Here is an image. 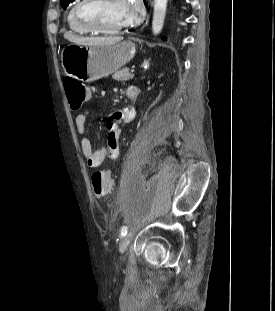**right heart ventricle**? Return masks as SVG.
<instances>
[{
	"label": "right heart ventricle",
	"instance_id": "right-heart-ventricle-1",
	"mask_svg": "<svg viewBox=\"0 0 275 311\" xmlns=\"http://www.w3.org/2000/svg\"><path fill=\"white\" fill-rule=\"evenodd\" d=\"M80 3V0H76L75 3L73 4V6L70 8L68 14H67V24L69 29L77 34H82V35H86L91 33L89 30H87L86 28H84L83 26L79 25L78 23H76L73 19L72 16V10L73 8Z\"/></svg>",
	"mask_w": 275,
	"mask_h": 311
}]
</instances>
